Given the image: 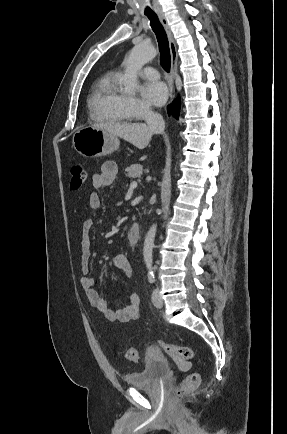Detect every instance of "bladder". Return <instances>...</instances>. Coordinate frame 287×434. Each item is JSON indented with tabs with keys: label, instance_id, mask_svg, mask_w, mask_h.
I'll return each mask as SVG.
<instances>
[{
	"label": "bladder",
	"instance_id": "bladder-1",
	"mask_svg": "<svg viewBox=\"0 0 287 434\" xmlns=\"http://www.w3.org/2000/svg\"><path fill=\"white\" fill-rule=\"evenodd\" d=\"M170 363L160 352H148L143 364L136 370L126 374L125 383L129 386L151 387L160 378L170 373Z\"/></svg>",
	"mask_w": 287,
	"mask_h": 434
}]
</instances>
